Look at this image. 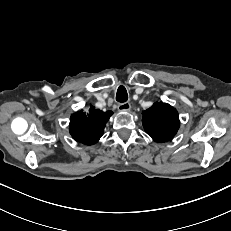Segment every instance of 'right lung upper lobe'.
<instances>
[{"mask_svg": "<svg viewBox=\"0 0 231 231\" xmlns=\"http://www.w3.org/2000/svg\"><path fill=\"white\" fill-rule=\"evenodd\" d=\"M112 114V111L102 112L93 106L87 112L78 111L71 116L70 134L78 142L93 145L103 135Z\"/></svg>", "mask_w": 231, "mask_h": 231, "instance_id": "right-lung-upper-lobe-1", "label": "right lung upper lobe"}]
</instances>
